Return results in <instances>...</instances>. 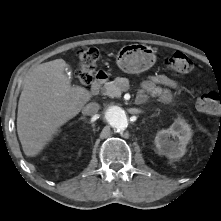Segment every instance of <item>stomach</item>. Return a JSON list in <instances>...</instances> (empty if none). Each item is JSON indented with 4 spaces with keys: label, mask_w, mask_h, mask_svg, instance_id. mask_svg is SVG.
<instances>
[{
    "label": "stomach",
    "mask_w": 221,
    "mask_h": 221,
    "mask_svg": "<svg viewBox=\"0 0 221 221\" xmlns=\"http://www.w3.org/2000/svg\"><path fill=\"white\" fill-rule=\"evenodd\" d=\"M156 60L154 50L140 44L123 46L117 54L116 63L125 73L138 74L150 69Z\"/></svg>",
    "instance_id": "0dacf381"
}]
</instances>
